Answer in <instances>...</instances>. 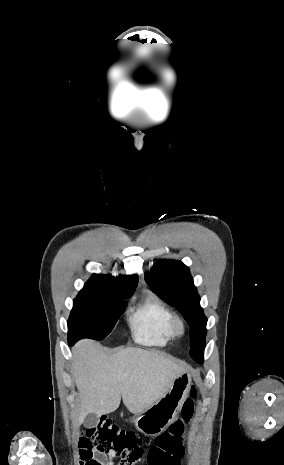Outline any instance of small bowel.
<instances>
[{
  "label": "small bowel",
  "mask_w": 284,
  "mask_h": 465,
  "mask_svg": "<svg viewBox=\"0 0 284 465\" xmlns=\"http://www.w3.org/2000/svg\"><path fill=\"white\" fill-rule=\"evenodd\" d=\"M102 465H113L112 458L106 459V461L102 462Z\"/></svg>",
  "instance_id": "small-bowel-1"
}]
</instances>
